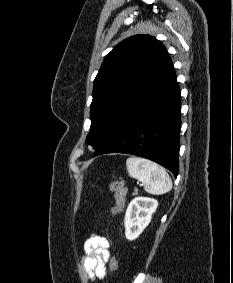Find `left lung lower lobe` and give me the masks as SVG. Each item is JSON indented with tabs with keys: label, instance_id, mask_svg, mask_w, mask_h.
Listing matches in <instances>:
<instances>
[{
	"label": "left lung lower lobe",
	"instance_id": "left-lung-lower-lobe-1",
	"mask_svg": "<svg viewBox=\"0 0 233 283\" xmlns=\"http://www.w3.org/2000/svg\"><path fill=\"white\" fill-rule=\"evenodd\" d=\"M180 110V89L172 61L167 58L94 156L113 152L141 156L161 164L177 177Z\"/></svg>",
	"mask_w": 233,
	"mask_h": 283
}]
</instances>
